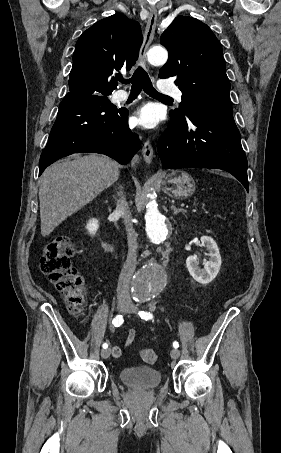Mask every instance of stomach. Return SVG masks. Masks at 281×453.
Segmentation results:
<instances>
[{"instance_id": "1", "label": "stomach", "mask_w": 281, "mask_h": 453, "mask_svg": "<svg viewBox=\"0 0 281 453\" xmlns=\"http://www.w3.org/2000/svg\"><path fill=\"white\" fill-rule=\"evenodd\" d=\"M163 190L173 198H188L195 190V182L184 170H173V172H163L161 180Z\"/></svg>"}]
</instances>
